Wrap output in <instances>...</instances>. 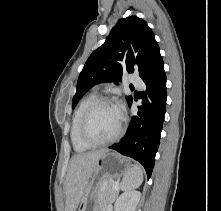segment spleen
<instances>
[{"label": "spleen", "mask_w": 221, "mask_h": 211, "mask_svg": "<svg viewBox=\"0 0 221 211\" xmlns=\"http://www.w3.org/2000/svg\"><path fill=\"white\" fill-rule=\"evenodd\" d=\"M143 182V169L138 164H133L121 182V190L131 191L138 188Z\"/></svg>", "instance_id": "obj_1"}]
</instances>
